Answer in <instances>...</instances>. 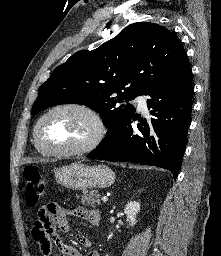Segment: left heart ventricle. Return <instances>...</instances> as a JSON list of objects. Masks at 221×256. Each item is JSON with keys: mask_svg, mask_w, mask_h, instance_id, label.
Here are the masks:
<instances>
[{"mask_svg": "<svg viewBox=\"0 0 221 256\" xmlns=\"http://www.w3.org/2000/svg\"><path fill=\"white\" fill-rule=\"evenodd\" d=\"M94 133L92 120L75 109L59 110L42 124V142L52 148H74L87 142Z\"/></svg>", "mask_w": 221, "mask_h": 256, "instance_id": "b2bd125f", "label": "left heart ventricle"}]
</instances>
